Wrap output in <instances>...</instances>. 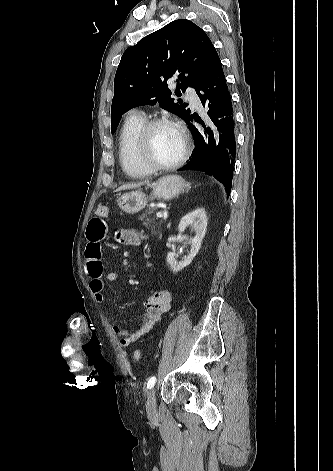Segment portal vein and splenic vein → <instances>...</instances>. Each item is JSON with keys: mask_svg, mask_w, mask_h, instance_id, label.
<instances>
[{"mask_svg": "<svg viewBox=\"0 0 333 471\" xmlns=\"http://www.w3.org/2000/svg\"><path fill=\"white\" fill-rule=\"evenodd\" d=\"M156 216H157V218H165L166 219V217L161 212H157Z\"/></svg>", "mask_w": 333, "mask_h": 471, "instance_id": "1", "label": "portal vein and splenic vein"}]
</instances>
